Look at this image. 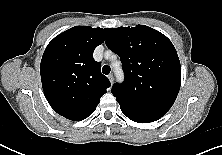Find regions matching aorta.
Instances as JSON below:
<instances>
[{
	"instance_id": "aorta-1",
	"label": "aorta",
	"mask_w": 222,
	"mask_h": 155,
	"mask_svg": "<svg viewBox=\"0 0 222 155\" xmlns=\"http://www.w3.org/2000/svg\"><path fill=\"white\" fill-rule=\"evenodd\" d=\"M116 74H117L118 79L121 80L123 77L122 71L120 69H117Z\"/></svg>"
}]
</instances>
